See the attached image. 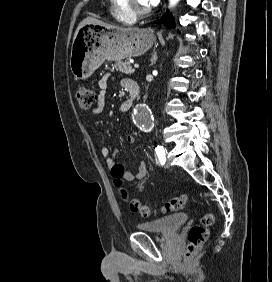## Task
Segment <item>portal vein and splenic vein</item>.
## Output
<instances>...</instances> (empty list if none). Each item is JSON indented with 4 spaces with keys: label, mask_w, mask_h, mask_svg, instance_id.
<instances>
[{
    "label": "portal vein and splenic vein",
    "mask_w": 272,
    "mask_h": 282,
    "mask_svg": "<svg viewBox=\"0 0 272 282\" xmlns=\"http://www.w3.org/2000/svg\"><path fill=\"white\" fill-rule=\"evenodd\" d=\"M134 68H139V65L138 64H134Z\"/></svg>",
    "instance_id": "18ae733b"
}]
</instances>
